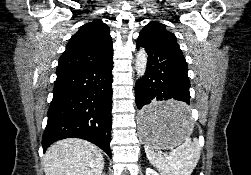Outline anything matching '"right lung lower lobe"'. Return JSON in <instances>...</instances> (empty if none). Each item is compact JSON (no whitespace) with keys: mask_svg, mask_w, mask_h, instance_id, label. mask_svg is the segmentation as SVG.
<instances>
[{"mask_svg":"<svg viewBox=\"0 0 251 175\" xmlns=\"http://www.w3.org/2000/svg\"><path fill=\"white\" fill-rule=\"evenodd\" d=\"M112 57L105 63L57 74L47 126L44 152L64 138L88 140L111 157Z\"/></svg>","mask_w":251,"mask_h":175,"instance_id":"obj_1","label":"right lung lower lobe"}]
</instances>
